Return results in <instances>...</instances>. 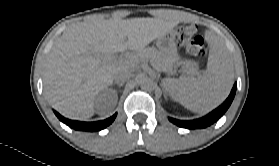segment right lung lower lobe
<instances>
[{
  "instance_id": "1",
  "label": "right lung lower lobe",
  "mask_w": 279,
  "mask_h": 166,
  "mask_svg": "<svg viewBox=\"0 0 279 166\" xmlns=\"http://www.w3.org/2000/svg\"><path fill=\"white\" fill-rule=\"evenodd\" d=\"M56 116L66 125L69 127L80 130V131H99L104 129L105 127L109 126L115 119L116 114H114L112 117L102 120V121H96V122H80V121H73L64 118L59 113L55 112Z\"/></svg>"
}]
</instances>
